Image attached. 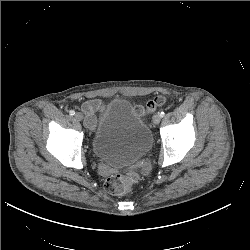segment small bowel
<instances>
[{
    "label": "small bowel",
    "mask_w": 250,
    "mask_h": 250,
    "mask_svg": "<svg viewBox=\"0 0 250 250\" xmlns=\"http://www.w3.org/2000/svg\"><path fill=\"white\" fill-rule=\"evenodd\" d=\"M103 106V102L99 99H90L82 104L81 110L85 115V123L89 128L95 125L96 114L102 110Z\"/></svg>",
    "instance_id": "c3829d8e"
}]
</instances>
